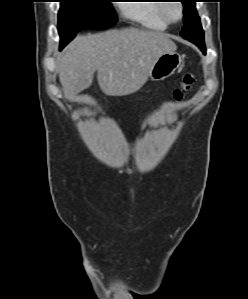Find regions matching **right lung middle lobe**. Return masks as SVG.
Masks as SVG:
<instances>
[{
  "label": "right lung middle lobe",
  "instance_id": "1",
  "mask_svg": "<svg viewBox=\"0 0 248 299\" xmlns=\"http://www.w3.org/2000/svg\"><path fill=\"white\" fill-rule=\"evenodd\" d=\"M112 0H60L58 31L60 48L83 29L103 30L117 22Z\"/></svg>",
  "mask_w": 248,
  "mask_h": 299
}]
</instances>
